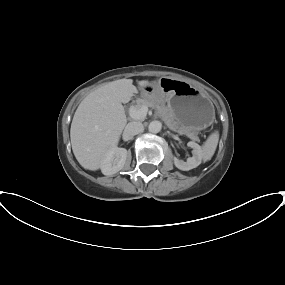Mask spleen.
Wrapping results in <instances>:
<instances>
[{
	"label": "spleen",
	"instance_id": "obj_1",
	"mask_svg": "<svg viewBox=\"0 0 285 285\" xmlns=\"http://www.w3.org/2000/svg\"><path fill=\"white\" fill-rule=\"evenodd\" d=\"M219 141V133L215 131L212 133L202 146V158L204 161H208L215 153Z\"/></svg>",
	"mask_w": 285,
	"mask_h": 285
}]
</instances>
